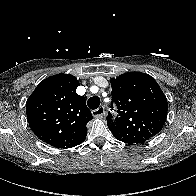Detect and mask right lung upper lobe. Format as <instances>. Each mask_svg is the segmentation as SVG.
<instances>
[{
  "mask_svg": "<svg viewBox=\"0 0 196 196\" xmlns=\"http://www.w3.org/2000/svg\"><path fill=\"white\" fill-rule=\"evenodd\" d=\"M78 84L70 74L54 75L44 79L27 100L31 130L53 147H74L86 138L92 114L85 98L76 93Z\"/></svg>",
  "mask_w": 196,
  "mask_h": 196,
  "instance_id": "right-lung-upper-lobe-1",
  "label": "right lung upper lobe"
}]
</instances>
